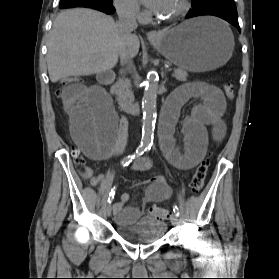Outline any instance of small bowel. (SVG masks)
I'll return each mask as SVG.
<instances>
[{"label": "small bowel", "instance_id": "1", "mask_svg": "<svg viewBox=\"0 0 279 279\" xmlns=\"http://www.w3.org/2000/svg\"><path fill=\"white\" fill-rule=\"evenodd\" d=\"M64 111L69 120L71 135L81 151L95 161H105L121 148V121L110 98L100 86L86 87L81 83L66 86L60 93ZM192 97L202 102L193 107L191 114L183 122L184 152H179L173 144V129L180 108ZM226 102L220 89L201 82L190 83L177 89L168 99L160 119V140L167 159L180 169L193 168L205 155L209 143L207 126L212 128V138L221 142L226 133L223 120ZM152 167V160L138 158L132 168L144 172ZM84 180L96 186L100 177L91 167L80 171ZM148 185L143 204L167 200L172 189L164 177H153L144 181ZM128 195L122 194L114 205L117 222L129 225L142 214L138 207L126 206Z\"/></svg>", "mask_w": 279, "mask_h": 279}]
</instances>
